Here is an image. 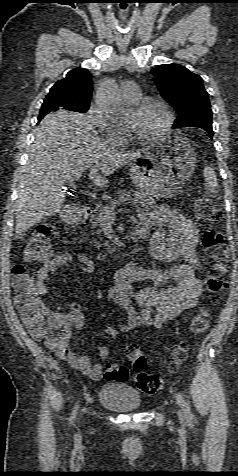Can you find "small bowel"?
I'll use <instances>...</instances> for the list:
<instances>
[{"label":"small bowel","instance_id":"1","mask_svg":"<svg viewBox=\"0 0 238 476\" xmlns=\"http://www.w3.org/2000/svg\"><path fill=\"white\" fill-rule=\"evenodd\" d=\"M138 228L150 234V253L162 262L172 263L183 260L168 270L150 269L129 264L115 273L114 285L108 291L109 304L122 309L125 319L119 329L107 327L102 333L115 339L138 327L160 328L167 321L177 317L185 310L194 308L203 291V283L197 277L199 260L195 248L199 240V230L195 223L182 213L168 207L143 211L139 215ZM77 261L84 276L91 279L95 265L84 254L69 252L57 254L45 261L36 273V289L40 296L48 293L47 283L50 275L59 268ZM151 281L152 286L136 289L135 282ZM69 310L51 312L47 309L48 328L52 331L66 329L69 334L54 350L73 368L93 380L102 376V366H92L87 356H79L69 348L71 327L81 329L84 325L83 305L69 301ZM140 309V310H138ZM100 358L108 359L110 351L98 347Z\"/></svg>","mask_w":238,"mask_h":476}]
</instances>
